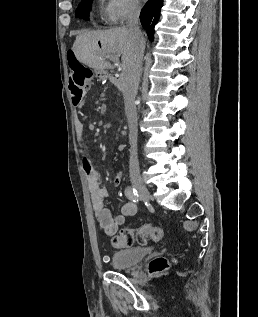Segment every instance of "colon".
Listing matches in <instances>:
<instances>
[{
	"mask_svg": "<svg viewBox=\"0 0 258 317\" xmlns=\"http://www.w3.org/2000/svg\"><path fill=\"white\" fill-rule=\"evenodd\" d=\"M67 62L70 72L77 77L85 86H89L94 78V72L83 65L76 57L73 50L67 52ZM162 237V229L153 223H146L137 229L124 228L112 237V245L116 248H128L134 244L146 245L158 242ZM172 261L166 257H156L149 263L148 270L151 274H158L167 270Z\"/></svg>",
	"mask_w": 258,
	"mask_h": 317,
	"instance_id": "obj_1",
	"label": "colon"
}]
</instances>
